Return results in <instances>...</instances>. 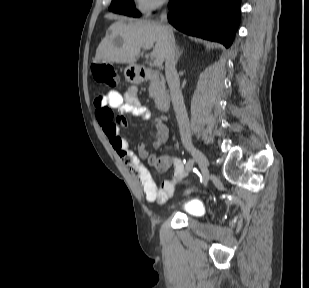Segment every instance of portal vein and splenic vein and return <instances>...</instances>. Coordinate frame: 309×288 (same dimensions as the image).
<instances>
[{"label": "portal vein and splenic vein", "mask_w": 309, "mask_h": 288, "mask_svg": "<svg viewBox=\"0 0 309 288\" xmlns=\"http://www.w3.org/2000/svg\"><path fill=\"white\" fill-rule=\"evenodd\" d=\"M149 48H151V47H146L145 49H149ZM162 63H163L162 59H160V58H158V57H156V58L154 59V65H155L156 67H160V66L162 65Z\"/></svg>", "instance_id": "18ae733b"}]
</instances>
